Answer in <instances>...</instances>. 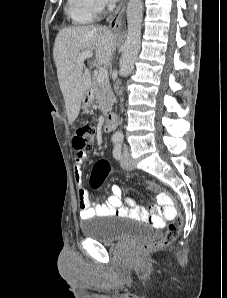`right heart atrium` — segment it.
Returning <instances> with one entry per match:
<instances>
[{
  "instance_id": "right-heart-atrium-1",
  "label": "right heart atrium",
  "mask_w": 227,
  "mask_h": 298,
  "mask_svg": "<svg viewBox=\"0 0 227 298\" xmlns=\"http://www.w3.org/2000/svg\"><path fill=\"white\" fill-rule=\"evenodd\" d=\"M78 3L90 12L93 16H96L103 12L108 6L109 0H77Z\"/></svg>"
}]
</instances>
